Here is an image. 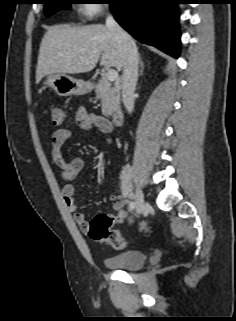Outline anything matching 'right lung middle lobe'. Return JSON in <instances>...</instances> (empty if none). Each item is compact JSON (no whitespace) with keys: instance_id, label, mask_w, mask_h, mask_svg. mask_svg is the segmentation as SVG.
Here are the masks:
<instances>
[{"instance_id":"dd1d6c3e","label":"right lung middle lobe","mask_w":236,"mask_h":321,"mask_svg":"<svg viewBox=\"0 0 236 321\" xmlns=\"http://www.w3.org/2000/svg\"><path fill=\"white\" fill-rule=\"evenodd\" d=\"M104 3L110 2V0H104ZM70 0H46L44 6V12L46 16H50L51 14L63 9L70 7Z\"/></svg>"}]
</instances>
